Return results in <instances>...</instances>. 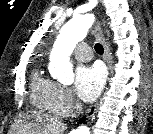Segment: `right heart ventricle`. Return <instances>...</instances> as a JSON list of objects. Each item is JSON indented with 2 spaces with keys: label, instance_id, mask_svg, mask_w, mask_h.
<instances>
[{
  "label": "right heart ventricle",
  "instance_id": "1",
  "mask_svg": "<svg viewBox=\"0 0 153 134\" xmlns=\"http://www.w3.org/2000/svg\"><path fill=\"white\" fill-rule=\"evenodd\" d=\"M53 82L45 78L40 71L36 69L31 81V100L38 107L51 110V95Z\"/></svg>",
  "mask_w": 153,
  "mask_h": 134
}]
</instances>
